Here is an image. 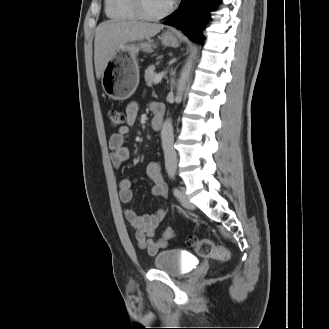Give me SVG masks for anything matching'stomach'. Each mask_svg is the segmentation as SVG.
<instances>
[{"label":"stomach","mask_w":329,"mask_h":329,"mask_svg":"<svg viewBox=\"0 0 329 329\" xmlns=\"http://www.w3.org/2000/svg\"><path fill=\"white\" fill-rule=\"evenodd\" d=\"M162 44L178 47V38L170 31L159 37ZM153 40L138 43H124L117 48L113 58L106 64L102 74L104 92L113 100L123 101L132 96L139 84V67L136 54L139 51L151 52Z\"/></svg>","instance_id":"stomach-1"}]
</instances>
